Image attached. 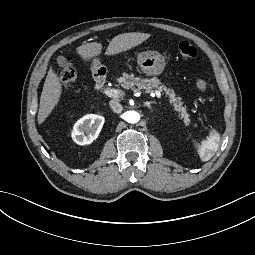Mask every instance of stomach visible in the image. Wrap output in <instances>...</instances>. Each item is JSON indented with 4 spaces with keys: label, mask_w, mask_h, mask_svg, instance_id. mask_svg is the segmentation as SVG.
Returning <instances> with one entry per match:
<instances>
[{
    "label": "stomach",
    "mask_w": 255,
    "mask_h": 255,
    "mask_svg": "<svg viewBox=\"0 0 255 255\" xmlns=\"http://www.w3.org/2000/svg\"><path fill=\"white\" fill-rule=\"evenodd\" d=\"M138 65L148 76L159 75L163 72L165 67V60L162 55L155 52L140 53L138 55ZM101 67V64L97 58L93 60L91 70L97 72Z\"/></svg>",
    "instance_id": "0dacf381"
}]
</instances>
